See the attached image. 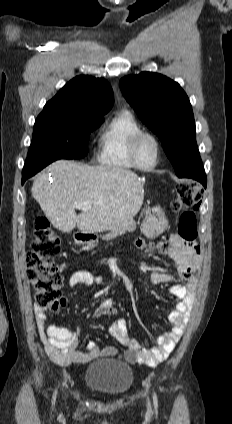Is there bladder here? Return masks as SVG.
I'll list each match as a JSON object with an SVG mask.
<instances>
[{
  "label": "bladder",
  "instance_id": "obj_1",
  "mask_svg": "<svg viewBox=\"0 0 232 424\" xmlns=\"http://www.w3.org/2000/svg\"><path fill=\"white\" fill-rule=\"evenodd\" d=\"M132 382V368L118 359L102 358L90 363L85 370V385L107 397L123 395Z\"/></svg>",
  "mask_w": 232,
  "mask_h": 424
}]
</instances>
